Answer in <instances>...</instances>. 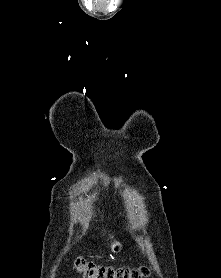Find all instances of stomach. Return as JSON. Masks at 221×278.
<instances>
[{"label": "stomach", "mask_w": 221, "mask_h": 278, "mask_svg": "<svg viewBox=\"0 0 221 278\" xmlns=\"http://www.w3.org/2000/svg\"><path fill=\"white\" fill-rule=\"evenodd\" d=\"M110 249L113 253L118 254L122 250V244L119 241H114L111 243Z\"/></svg>", "instance_id": "stomach-1"}]
</instances>
